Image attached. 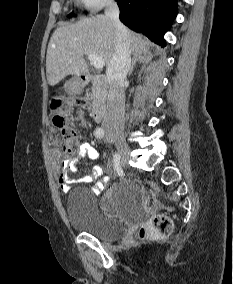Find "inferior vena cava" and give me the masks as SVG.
Returning a JSON list of instances; mask_svg holds the SVG:
<instances>
[{"label":"inferior vena cava","mask_w":233,"mask_h":284,"mask_svg":"<svg viewBox=\"0 0 233 284\" xmlns=\"http://www.w3.org/2000/svg\"><path fill=\"white\" fill-rule=\"evenodd\" d=\"M105 16L113 21L116 30V51L106 70L109 93L102 122L103 129L110 133L121 132L124 128V82L131 65V40L128 30L119 20V8L113 0H109Z\"/></svg>","instance_id":"obj_1"}]
</instances>
